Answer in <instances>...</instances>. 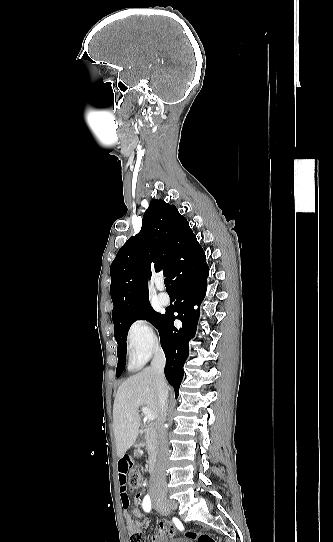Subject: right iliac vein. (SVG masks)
<instances>
[{"label":"right iliac vein","instance_id":"right-iliac-vein-1","mask_svg":"<svg viewBox=\"0 0 333 542\" xmlns=\"http://www.w3.org/2000/svg\"><path fill=\"white\" fill-rule=\"evenodd\" d=\"M152 497H156V499H159V496L158 495H152ZM161 497V496H160ZM169 506L170 507H174L175 506V503L174 502H170L169 503Z\"/></svg>","mask_w":333,"mask_h":542}]
</instances>
